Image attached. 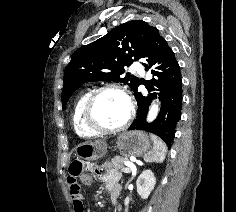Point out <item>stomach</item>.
Here are the masks:
<instances>
[{"instance_id": "stomach-1", "label": "stomach", "mask_w": 236, "mask_h": 212, "mask_svg": "<svg viewBox=\"0 0 236 212\" xmlns=\"http://www.w3.org/2000/svg\"><path fill=\"white\" fill-rule=\"evenodd\" d=\"M116 146L121 155L125 157H140L147 154L151 149V140L148 134L142 131H128L120 134L116 139ZM107 152L106 143L95 144L85 142L75 149V155L86 161H94L102 158Z\"/></svg>"}]
</instances>
